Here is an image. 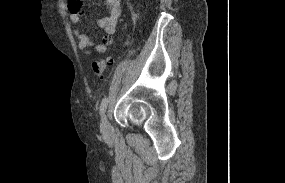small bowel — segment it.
<instances>
[{
  "instance_id": "1",
  "label": "small bowel",
  "mask_w": 285,
  "mask_h": 183,
  "mask_svg": "<svg viewBox=\"0 0 285 183\" xmlns=\"http://www.w3.org/2000/svg\"><path fill=\"white\" fill-rule=\"evenodd\" d=\"M81 4L82 0H75L72 3H68L70 21L78 25L73 31L74 36L78 40V47L86 55H91L92 50L98 53H104L107 51V47L114 42L118 30V23L121 16V0H107L109 13L97 21L98 26L105 31L101 43H96L92 37L88 33L83 32L81 26H79L81 23ZM71 6H75L77 10L72 12L70 10Z\"/></svg>"
}]
</instances>
